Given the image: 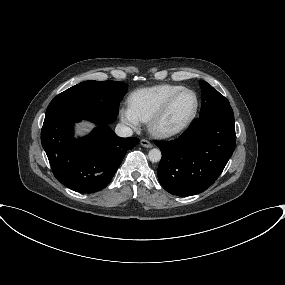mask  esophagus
Wrapping results in <instances>:
<instances>
[{"label":"esophagus","instance_id":"esophagus-1","mask_svg":"<svg viewBox=\"0 0 285 285\" xmlns=\"http://www.w3.org/2000/svg\"><path fill=\"white\" fill-rule=\"evenodd\" d=\"M140 144L143 146V147H146V148H151L153 145L151 144L150 141L146 140V139H142L140 141Z\"/></svg>","mask_w":285,"mask_h":285}]
</instances>
